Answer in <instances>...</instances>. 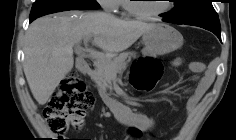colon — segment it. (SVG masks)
Listing matches in <instances>:
<instances>
[{
  "label": "colon",
  "mask_w": 236,
  "mask_h": 140,
  "mask_svg": "<svg viewBox=\"0 0 236 140\" xmlns=\"http://www.w3.org/2000/svg\"><path fill=\"white\" fill-rule=\"evenodd\" d=\"M163 72L160 61L139 58L131 72L130 81L134 88L149 92L154 89ZM95 103L94 94L87 89L80 75L73 71L61 82L44 109V117L52 133L63 136L70 126L79 128L83 124L86 111ZM140 129L130 128V135L137 137Z\"/></svg>",
  "instance_id": "1"
}]
</instances>
